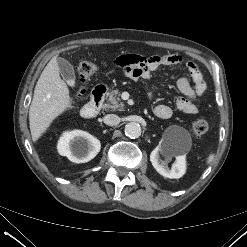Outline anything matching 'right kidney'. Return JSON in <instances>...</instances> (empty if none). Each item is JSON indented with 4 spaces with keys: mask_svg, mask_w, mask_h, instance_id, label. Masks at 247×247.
Listing matches in <instances>:
<instances>
[{
    "mask_svg": "<svg viewBox=\"0 0 247 247\" xmlns=\"http://www.w3.org/2000/svg\"><path fill=\"white\" fill-rule=\"evenodd\" d=\"M75 139L84 140V143L88 148L87 153L82 157H77L72 153L71 141H74ZM57 149L60 155L66 156L74 162H88L99 153L101 144L97 138L86 131L72 130L63 133L58 141Z\"/></svg>",
    "mask_w": 247,
    "mask_h": 247,
    "instance_id": "obj_1",
    "label": "right kidney"
}]
</instances>
